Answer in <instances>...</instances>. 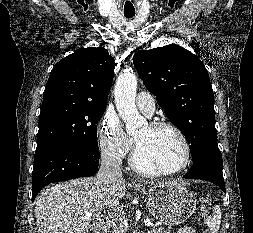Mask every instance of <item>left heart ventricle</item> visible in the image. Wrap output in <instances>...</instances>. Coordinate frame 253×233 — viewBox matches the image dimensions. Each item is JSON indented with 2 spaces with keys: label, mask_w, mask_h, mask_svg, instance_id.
I'll use <instances>...</instances> for the list:
<instances>
[{
  "label": "left heart ventricle",
  "mask_w": 253,
  "mask_h": 233,
  "mask_svg": "<svg viewBox=\"0 0 253 233\" xmlns=\"http://www.w3.org/2000/svg\"><path fill=\"white\" fill-rule=\"evenodd\" d=\"M134 138L138 145V160L147 169H173L183 160L182 144L170 130L153 131L147 126Z\"/></svg>",
  "instance_id": "left-heart-ventricle-1"
}]
</instances>
